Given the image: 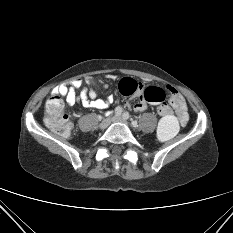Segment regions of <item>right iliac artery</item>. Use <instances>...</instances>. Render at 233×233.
Instances as JSON below:
<instances>
[{
	"label": "right iliac artery",
	"mask_w": 233,
	"mask_h": 233,
	"mask_svg": "<svg viewBox=\"0 0 233 233\" xmlns=\"http://www.w3.org/2000/svg\"><path fill=\"white\" fill-rule=\"evenodd\" d=\"M122 114V108L120 106L115 108V115L120 116Z\"/></svg>",
	"instance_id": "1"
}]
</instances>
